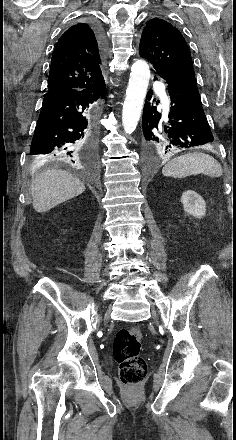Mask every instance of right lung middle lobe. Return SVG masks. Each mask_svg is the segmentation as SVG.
<instances>
[{
    "mask_svg": "<svg viewBox=\"0 0 236 440\" xmlns=\"http://www.w3.org/2000/svg\"><path fill=\"white\" fill-rule=\"evenodd\" d=\"M31 162L34 163V164H37L39 161L36 158H31Z\"/></svg>",
    "mask_w": 236,
    "mask_h": 440,
    "instance_id": "dd1d6c3e",
    "label": "right lung middle lobe"
}]
</instances>
